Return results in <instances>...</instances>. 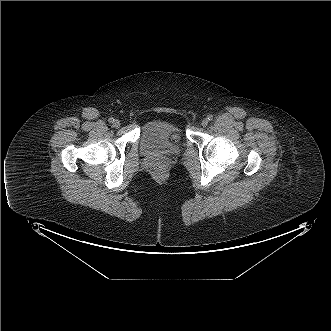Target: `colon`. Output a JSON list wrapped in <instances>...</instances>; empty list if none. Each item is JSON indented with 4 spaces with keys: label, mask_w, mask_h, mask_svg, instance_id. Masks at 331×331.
Listing matches in <instances>:
<instances>
[{
    "label": "colon",
    "mask_w": 331,
    "mask_h": 331,
    "mask_svg": "<svg viewBox=\"0 0 331 331\" xmlns=\"http://www.w3.org/2000/svg\"><path fill=\"white\" fill-rule=\"evenodd\" d=\"M158 172L160 173V172H161V170L159 169V170H158Z\"/></svg>",
    "instance_id": "colon-1"
}]
</instances>
